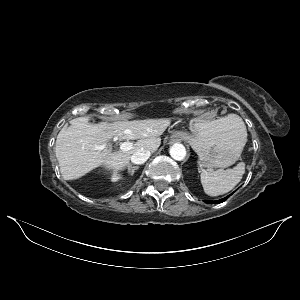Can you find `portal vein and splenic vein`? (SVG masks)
Segmentation results:
<instances>
[{
  "instance_id": "portal-vein-and-splenic-vein-1",
  "label": "portal vein and splenic vein",
  "mask_w": 300,
  "mask_h": 300,
  "mask_svg": "<svg viewBox=\"0 0 300 300\" xmlns=\"http://www.w3.org/2000/svg\"><path fill=\"white\" fill-rule=\"evenodd\" d=\"M132 146H133V143H131V142H122L120 144V150L128 151L132 148Z\"/></svg>"
}]
</instances>
